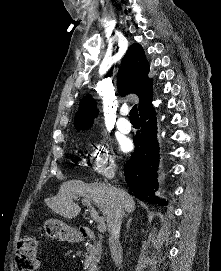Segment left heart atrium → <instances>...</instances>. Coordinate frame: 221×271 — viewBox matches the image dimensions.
Returning <instances> with one entry per match:
<instances>
[{
    "label": "left heart atrium",
    "mask_w": 221,
    "mask_h": 271,
    "mask_svg": "<svg viewBox=\"0 0 221 271\" xmlns=\"http://www.w3.org/2000/svg\"><path fill=\"white\" fill-rule=\"evenodd\" d=\"M120 147L123 151L127 152L131 148V142L128 139H125L121 142Z\"/></svg>",
    "instance_id": "39dd6f15"
}]
</instances>
